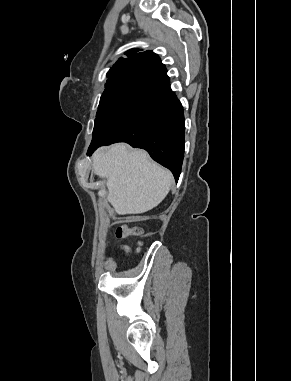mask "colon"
<instances>
[{
  "label": "colon",
  "mask_w": 291,
  "mask_h": 381,
  "mask_svg": "<svg viewBox=\"0 0 291 381\" xmlns=\"http://www.w3.org/2000/svg\"><path fill=\"white\" fill-rule=\"evenodd\" d=\"M141 233L138 227H128L121 225L116 228L115 234L117 239L121 242V248L127 252L131 250L129 240L132 237L139 236Z\"/></svg>",
  "instance_id": "colon-1"
}]
</instances>
